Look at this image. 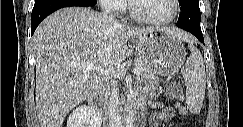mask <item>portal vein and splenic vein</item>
<instances>
[{"mask_svg": "<svg viewBox=\"0 0 243 127\" xmlns=\"http://www.w3.org/2000/svg\"><path fill=\"white\" fill-rule=\"evenodd\" d=\"M81 68L83 69L84 73H87V72H90L92 70H95L97 72H101V73L105 74L106 76H116V74H117V71H115V70L99 69L97 66H95L94 64H91V63L83 64L81 66ZM132 73L136 74V75H141V70L139 68L135 67L132 70Z\"/></svg>", "mask_w": 243, "mask_h": 127, "instance_id": "portal-vein-and-splenic-vein-1", "label": "portal vein and splenic vein"}]
</instances>
